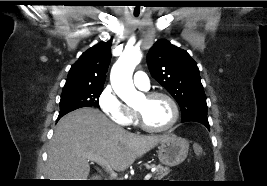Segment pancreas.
Listing matches in <instances>:
<instances>
[{
    "label": "pancreas",
    "mask_w": 267,
    "mask_h": 186,
    "mask_svg": "<svg viewBox=\"0 0 267 186\" xmlns=\"http://www.w3.org/2000/svg\"><path fill=\"white\" fill-rule=\"evenodd\" d=\"M147 168H155V172H154V179L155 180H160L163 177H165L166 175H168V173L170 172L168 167H164L162 165H150L147 166Z\"/></svg>",
    "instance_id": "cf45deb5"
}]
</instances>
